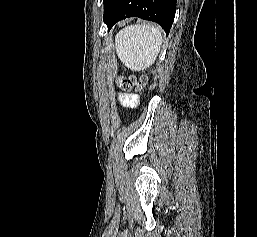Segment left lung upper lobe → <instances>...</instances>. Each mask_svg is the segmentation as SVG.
<instances>
[{
	"mask_svg": "<svg viewBox=\"0 0 257 237\" xmlns=\"http://www.w3.org/2000/svg\"><path fill=\"white\" fill-rule=\"evenodd\" d=\"M109 0H104V6H105V4L108 2Z\"/></svg>",
	"mask_w": 257,
	"mask_h": 237,
	"instance_id": "5c2ea615",
	"label": "left lung upper lobe"
}]
</instances>
